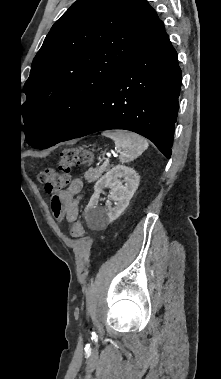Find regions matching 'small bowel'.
<instances>
[{
	"mask_svg": "<svg viewBox=\"0 0 221 379\" xmlns=\"http://www.w3.org/2000/svg\"><path fill=\"white\" fill-rule=\"evenodd\" d=\"M83 192V182L79 178L71 180L65 190H50L51 206L55 217L73 222L78 216V205Z\"/></svg>",
	"mask_w": 221,
	"mask_h": 379,
	"instance_id": "1",
	"label": "small bowel"
}]
</instances>
